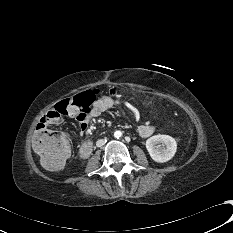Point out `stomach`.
Here are the masks:
<instances>
[{
  "label": "stomach",
  "mask_w": 233,
  "mask_h": 233,
  "mask_svg": "<svg viewBox=\"0 0 233 233\" xmlns=\"http://www.w3.org/2000/svg\"><path fill=\"white\" fill-rule=\"evenodd\" d=\"M143 102H144V104H146V103H147V101H146V100H144Z\"/></svg>",
  "instance_id": "0dacf381"
}]
</instances>
